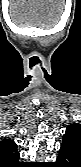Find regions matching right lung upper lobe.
<instances>
[{
  "label": "right lung upper lobe",
  "mask_w": 81,
  "mask_h": 167,
  "mask_svg": "<svg viewBox=\"0 0 81 167\" xmlns=\"http://www.w3.org/2000/svg\"><path fill=\"white\" fill-rule=\"evenodd\" d=\"M19 153L16 143L11 139L0 141V165L2 167H14L22 164L19 162Z\"/></svg>",
  "instance_id": "right-lung-upper-lobe-1"
}]
</instances>
